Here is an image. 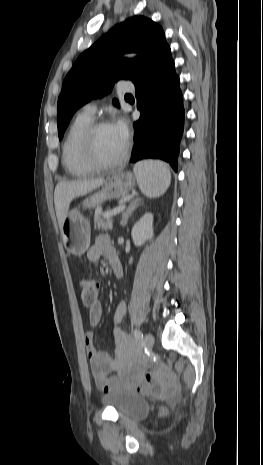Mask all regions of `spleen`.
<instances>
[{"mask_svg":"<svg viewBox=\"0 0 263 465\" xmlns=\"http://www.w3.org/2000/svg\"><path fill=\"white\" fill-rule=\"evenodd\" d=\"M133 171L141 192L149 198L161 196L170 185V171L162 161L139 162L134 165Z\"/></svg>","mask_w":263,"mask_h":465,"instance_id":"spleen-1","label":"spleen"}]
</instances>
